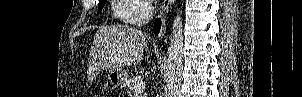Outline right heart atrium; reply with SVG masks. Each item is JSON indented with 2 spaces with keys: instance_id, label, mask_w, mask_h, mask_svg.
<instances>
[{
  "instance_id": "obj_1",
  "label": "right heart atrium",
  "mask_w": 302,
  "mask_h": 97,
  "mask_svg": "<svg viewBox=\"0 0 302 97\" xmlns=\"http://www.w3.org/2000/svg\"><path fill=\"white\" fill-rule=\"evenodd\" d=\"M135 10L131 18L133 24L141 25L146 23L152 16L153 6L148 0H134Z\"/></svg>"
}]
</instances>
